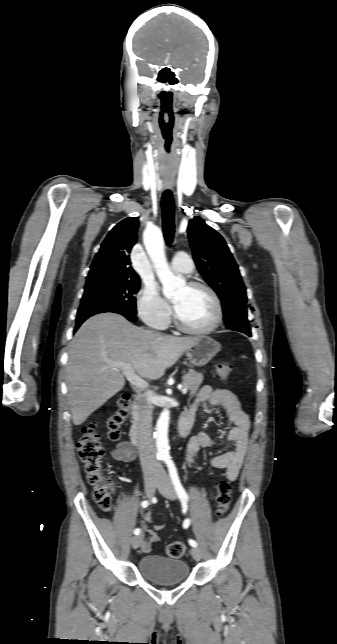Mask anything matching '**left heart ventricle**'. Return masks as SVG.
<instances>
[{
	"mask_svg": "<svg viewBox=\"0 0 337 644\" xmlns=\"http://www.w3.org/2000/svg\"><path fill=\"white\" fill-rule=\"evenodd\" d=\"M171 301L179 319L190 328H205L214 319V303L204 289H191L185 285L173 295Z\"/></svg>",
	"mask_w": 337,
	"mask_h": 644,
	"instance_id": "1",
	"label": "left heart ventricle"
}]
</instances>
